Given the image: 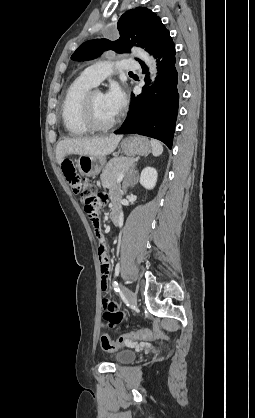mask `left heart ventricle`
<instances>
[{
	"mask_svg": "<svg viewBox=\"0 0 255 418\" xmlns=\"http://www.w3.org/2000/svg\"><path fill=\"white\" fill-rule=\"evenodd\" d=\"M93 110L96 120L101 124H107L115 118L108 109L104 94L101 92H97L93 96Z\"/></svg>",
	"mask_w": 255,
	"mask_h": 418,
	"instance_id": "obj_1",
	"label": "left heart ventricle"
}]
</instances>
